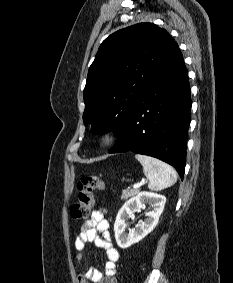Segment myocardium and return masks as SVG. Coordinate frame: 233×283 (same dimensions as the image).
Here are the masks:
<instances>
[{"label": "myocardium", "mask_w": 233, "mask_h": 283, "mask_svg": "<svg viewBox=\"0 0 233 283\" xmlns=\"http://www.w3.org/2000/svg\"><path fill=\"white\" fill-rule=\"evenodd\" d=\"M117 139V131L112 128L103 130L98 136V143L103 148H108L114 144Z\"/></svg>", "instance_id": "1"}]
</instances>
